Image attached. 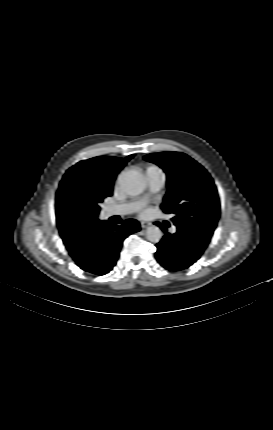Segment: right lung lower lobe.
I'll return each mask as SVG.
<instances>
[{
    "instance_id": "98d812e1",
    "label": "right lung lower lobe",
    "mask_w": 273,
    "mask_h": 430,
    "mask_svg": "<svg viewBox=\"0 0 273 430\" xmlns=\"http://www.w3.org/2000/svg\"><path fill=\"white\" fill-rule=\"evenodd\" d=\"M139 230L133 219L125 220L122 226L97 219L84 230L82 244L69 254L84 271L104 275L116 264L123 240Z\"/></svg>"
}]
</instances>
